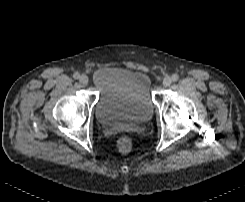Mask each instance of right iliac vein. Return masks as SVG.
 <instances>
[{
	"mask_svg": "<svg viewBox=\"0 0 245 202\" xmlns=\"http://www.w3.org/2000/svg\"><path fill=\"white\" fill-rule=\"evenodd\" d=\"M79 81L82 85H86L88 83L89 79L86 75H81L79 78Z\"/></svg>",
	"mask_w": 245,
	"mask_h": 202,
	"instance_id": "obj_1",
	"label": "right iliac vein"
}]
</instances>
